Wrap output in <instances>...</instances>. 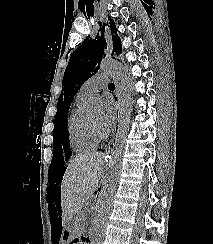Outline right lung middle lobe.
<instances>
[{"instance_id":"obj_1","label":"right lung middle lobe","mask_w":213,"mask_h":244,"mask_svg":"<svg viewBox=\"0 0 213 244\" xmlns=\"http://www.w3.org/2000/svg\"><path fill=\"white\" fill-rule=\"evenodd\" d=\"M54 142H53V157L51 161V165L49 168L48 179L51 178L53 175H57L59 171L64 168V157L63 154L65 153V160L69 159V156L66 155L67 150L71 153L69 148V143H67V148H65L64 144L62 143L61 139L53 134ZM71 156V155H70Z\"/></svg>"}]
</instances>
